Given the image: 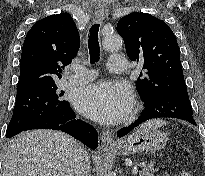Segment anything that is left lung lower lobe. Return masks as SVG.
<instances>
[{
  "label": "left lung lower lobe",
  "mask_w": 205,
  "mask_h": 176,
  "mask_svg": "<svg viewBox=\"0 0 205 176\" xmlns=\"http://www.w3.org/2000/svg\"><path fill=\"white\" fill-rule=\"evenodd\" d=\"M144 102L145 109L140 117L130 126L120 130L117 136H125L135 127L154 118H177L196 125L186 86H170Z\"/></svg>",
  "instance_id": "obj_1"
}]
</instances>
